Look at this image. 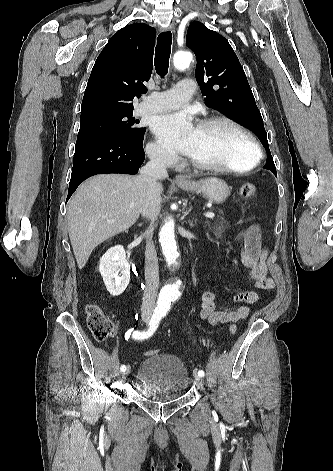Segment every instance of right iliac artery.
I'll list each match as a JSON object with an SVG mask.
<instances>
[{"mask_svg": "<svg viewBox=\"0 0 333 471\" xmlns=\"http://www.w3.org/2000/svg\"><path fill=\"white\" fill-rule=\"evenodd\" d=\"M162 318V315H161V312H154L152 317H151V320L149 322V327L146 331H134L133 332V335L132 337L134 339H138V340H143V339H146L150 336L153 335V333L156 331V329L158 328V325H159V322ZM129 336H130V333H129ZM120 370L122 372H124L126 370V366L125 365H122L120 367Z\"/></svg>", "mask_w": 333, "mask_h": 471, "instance_id": "obj_1", "label": "right iliac artery"}]
</instances>
